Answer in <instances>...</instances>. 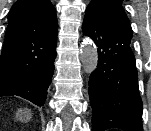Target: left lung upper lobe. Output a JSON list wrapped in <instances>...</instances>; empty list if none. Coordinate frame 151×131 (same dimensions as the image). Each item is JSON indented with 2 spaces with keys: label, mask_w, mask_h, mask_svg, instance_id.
Segmentation results:
<instances>
[{
  "label": "left lung upper lobe",
  "mask_w": 151,
  "mask_h": 131,
  "mask_svg": "<svg viewBox=\"0 0 151 131\" xmlns=\"http://www.w3.org/2000/svg\"><path fill=\"white\" fill-rule=\"evenodd\" d=\"M121 4L122 0H92L87 7L86 13L93 10H104L109 14H119L129 22Z\"/></svg>",
  "instance_id": "1"
}]
</instances>
